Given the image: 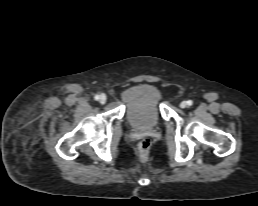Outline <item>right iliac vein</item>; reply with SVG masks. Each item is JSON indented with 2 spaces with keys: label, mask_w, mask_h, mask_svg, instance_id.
I'll use <instances>...</instances> for the list:
<instances>
[{
  "label": "right iliac vein",
  "mask_w": 258,
  "mask_h": 206,
  "mask_svg": "<svg viewBox=\"0 0 258 206\" xmlns=\"http://www.w3.org/2000/svg\"><path fill=\"white\" fill-rule=\"evenodd\" d=\"M106 100H107L106 95L105 94H101L100 97H99V102L101 104H104L106 102Z\"/></svg>",
  "instance_id": "63e3f726"
}]
</instances>
